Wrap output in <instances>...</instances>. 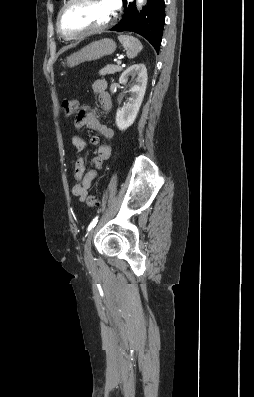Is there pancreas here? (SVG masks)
Listing matches in <instances>:
<instances>
[{"mask_svg": "<svg viewBox=\"0 0 254 397\" xmlns=\"http://www.w3.org/2000/svg\"><path fill=\"white\" fill-rule=\"evenodd\" d=\"M121 71H122L121 66L109 64L106 67H104L103 69H101L99 71V74L104 76L107 74H114V73L121 72Z\"/></svg>", "mask_w": 254, "mask_h": 397, "instance_id": "pancreas-1", "label": "pancreas"}]
</instances>
